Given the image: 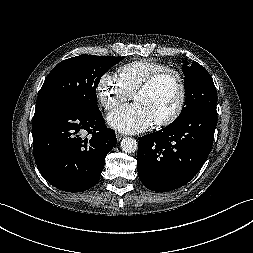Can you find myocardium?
I'll return each instance as SVG.
<instances>
[{"mask_svg":"<svg viewBox=\"0 0 253 253\" xmlns=\"http://www.w3.org/2000/svg\"><path fill=\"white\" fill-rule=\"evenodd\" d=\"M171 80L177 89L178 100L175 109L164 118L155 121V124L159 127H166L176 122L182 115L187 99L186 85L183 76L176 70L166 69L164 71L157 72L148 77L144 83L138 88L137 93L153 90L161 81Z\"/></svg>","mask_w":253,"mask_h":253,"instance_id":"1","label":"myocardium"}]
</instances>
